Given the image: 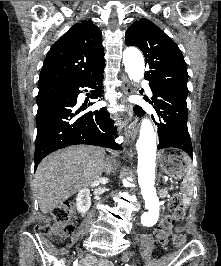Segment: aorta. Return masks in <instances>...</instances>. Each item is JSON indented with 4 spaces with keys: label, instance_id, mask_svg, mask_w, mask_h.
<instances>
[{
    "label": "aorta",
    "instance_id": "1",
    "mask_svg": "<svg viewBox=\"0 0 221 266\" xmlns=\"http://www.w3.org/2000/svg\"><path fill=\"white\" fill-rule=\"evenodd\" d=\"M123 63L131 80L139 82L143 78L145 64L139 50L127 48L123 53ZM136 148L138 151V183L145 200V207L148 209V212L142 215L141 221L144 225L150 226L158 219L160 204L154 187L156 133L149 119L142 120Z\"/></svg>",
    "mask_w": 221,
    "mask_h": 266
}]
</instances>
